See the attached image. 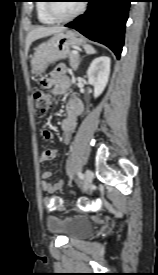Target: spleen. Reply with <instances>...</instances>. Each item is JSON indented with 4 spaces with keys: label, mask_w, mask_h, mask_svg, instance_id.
I'll list each match as a JSON object with an SVG mask.
<instances>
[{
    "label": "spleen",
    "mask_w": 158,
    "mask_h": 275,
    "mask_svg": "<svg viewBox=\"0 0 158 275\" xmlns=\"http://www.w3.org/2000/svg\"><path fill=\"white\" fill-rule=\"evenodd\" d=\"M85 50L88 54H94L96 53V50L93 46L89 45V44H86L85 45Z\"/></svg>",
    "instance_id": "3e777b00"
}]
</instances>
